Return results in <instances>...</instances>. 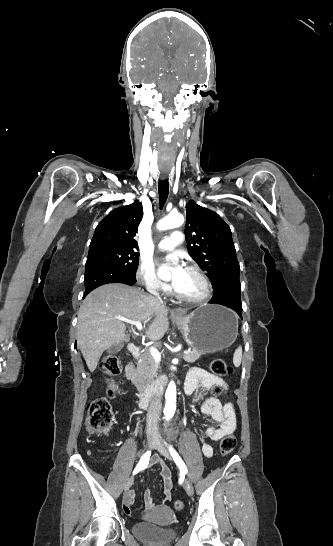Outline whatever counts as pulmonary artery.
<instances>
[{
  "instance_id": "e3ab8cb5",
  "label": "pulmonary artery",
  "mask_w": 333,
  "mask_h": 546,
  "mask_svg": "<svg viewBox=\"0 0 333 546\" xmlns=\"http://www.w3.org/2000/svg\"><path fill=\"white\" fill-rule=\"evenodd\" d=\"M183 242V234L181 231H174L168 237L161 239L156 247L160 251H170L174 249L177 245Z\"/></svg>"
}]
</instances>
